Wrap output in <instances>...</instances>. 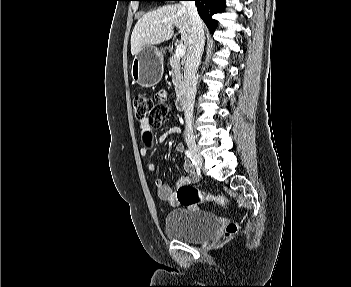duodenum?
Instances as JSON below:
<instances>
[{
	"label": "duodenum",
	"mask_w": 351,
	"mask_h": 287,
	"mask_svg": "<svg viewBox=\"0 0 351 287\" xmlns=\"http://www.w3.org/2000/svg\"><path fill=\"white\" fill-rule=\"evenodd\" d=\"M186 106H187L186 93L183 91H180L176 97V107L178 110L183 111L186 109Z\"/></svg>",
	"instance_id": "obj_1"
}]
</instances>
